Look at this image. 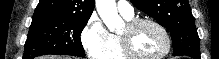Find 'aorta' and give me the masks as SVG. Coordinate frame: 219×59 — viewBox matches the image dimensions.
I'll use <instances>...</instances> for the list:
<instances>
[{
  "mask_svg": "<svg viewBox=\"0 0 219 59\" xmlns=\"http://www.w3.org/2000/svg\"><path fill=\"white\" fill-rule=\"evenodd\" d=\"M96 8L107 28L114 32L122 23L115 0H96Z\"/></svg>",
  "mask_w": 219,
  "mask_h": 59,
  "instance_id": "1",
  "label": "aorta"
}]
</instances>
